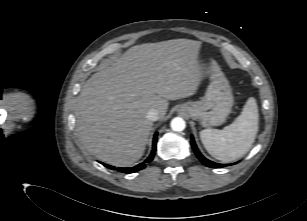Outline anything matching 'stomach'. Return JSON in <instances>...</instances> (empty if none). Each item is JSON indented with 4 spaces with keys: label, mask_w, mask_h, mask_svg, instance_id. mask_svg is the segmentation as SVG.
I'll list each match as a JSON object with an SVG mask.
<instances>
[{
    "label": "stomach",
    "mask_w": 307,
    "mask_h": 221,
    "mask_svg": "<svg viewBox=\"0 0 307 221\" xmlns=\"http://www.w3.org/2000/svg\"><path fill=\"white\" fill-rule=\"evenodd\" d=\"M233 104V92L228 80L220 70L212 69L205 95L199 101L179 105L178 112L198 119L203 127H212L226 121Z\"/></svg>",
    "instance_id": "1"
}]
</instances>
